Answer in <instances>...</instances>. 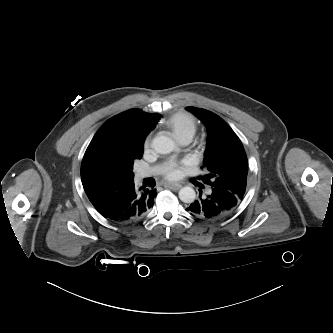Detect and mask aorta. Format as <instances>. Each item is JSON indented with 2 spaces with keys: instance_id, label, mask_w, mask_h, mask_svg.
Listing matches in <instances>:
<instances>
[{
  "instance_id": "aorta-1",
  "label": "aorta",
  "mask_w": 333,
  "mask_h": 333,
  "mask_svg": "<svg viewBox=\"0 0 333 333\" xmlns=\"http://www.w3.org/2000/svg\"><path fill=\"white\" fill-rule=\"evenodd\" d=\"M152 146L160 154H168L175 149L174 142L166 136H158L153 139ZM196 192L192 187L186 186L180 189L179 198L182 202L191 204L195 201Z\"/></svg>"
}]
</instances>
